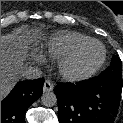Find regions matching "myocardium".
<instances>
[{
	"instance_id": "1",
	"label": "myocardium",
	"mask_w": 123,
	"mask_h": 123,
	"mask_svg": "<svg viewBox=\"0 0 123 123\" xmlns=\"http://www.w3.org/2000/svg\"><path fill=\"white\" fill-rule=\"evenodd\" d=\"M96 44L101 48V56L100 58L93 63L90 67L84 70H74L72 68L73 63L75 60L83 53V51L89 47L90 45ZM106 59V51L104 46L96 41V40H88L76 48H74L72 51H70L68 54L63 56L58 61V73L59 75L66 81H82L91 78L93 75L97 73V71L102 67Z\"/></svg>"
}]
</instances>
